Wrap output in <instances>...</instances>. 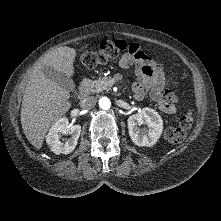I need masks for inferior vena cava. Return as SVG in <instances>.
Masks as SVG:
<instances>
[{
  "instance_id": "inferior-vena-cava-1",
  "label": "inferior vena cava",
  "mask_w": 221,
  "mask_h": 221,
  "mask_svg": "<svg viewBox=\"0 0 221 221\" xmlns=\"http://www.w3.org/2000/svg\"><path fill=\"white\" fill-rule=\"evenodd\" d=\"M97 103V99L93 96H88L81 100L80 107L83 109H90L93 108Z\"/></svg>"
}]
</instances>
